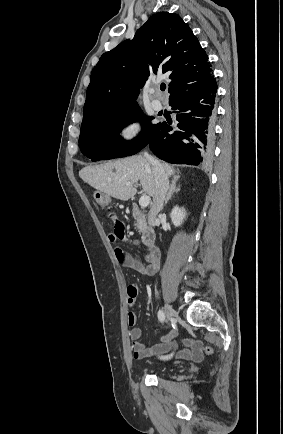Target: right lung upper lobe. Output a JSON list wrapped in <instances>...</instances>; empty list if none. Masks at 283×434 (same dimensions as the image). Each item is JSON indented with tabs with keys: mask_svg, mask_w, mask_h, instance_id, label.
<instances>
[{
	"mask_svg": "<svg viewBox=\"0 0 283 434\" xmlns=\"http://www.w3.org/2000/svg\"><path fill=\"white\" fill-rule=\"evenodd\" d=\"M157 72L171 79L169 101L213 79L206 52L177 14L151 16L132 40L101 56L91 73L81 129L139 107L140 88Z\"/></svg>",
	"mask_w": 283,
	"mask_h": 434,
	"instance_id": "right-lung-upper-lobe-1",
	"label": "right lung upper lobe"
}]
</instances>
